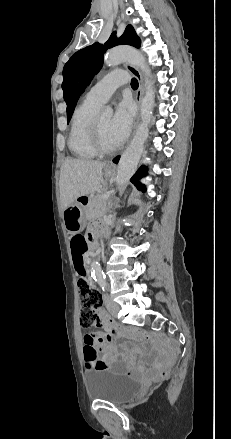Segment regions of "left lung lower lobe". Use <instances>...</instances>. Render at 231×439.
Returning a JSON list of instances; mask_svg holds the SVG:
<instances>
[{"instance_id": "obj_1", "label": "left lung lower lobe", "mask_w": 231, "mask_h": 439, "mask_svg": "<svg viewBox=\"0 0 231 439\" xmlns=\"http://www.w3.org/2000/svg\"><path fill=\"white\" fill-rule=\"evenodd\" d=\"M118 160H119V157H116V158L113 160V162H114V163H117ZM145 174H146V168H145V167H141V168L136 172V174L131 178V182H133V183L137 186V188H138L139 190H142V191H145V186L142 185L138 180H139V178L143 177Z\"/></svg>"}]
</instances>
